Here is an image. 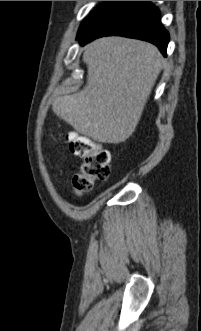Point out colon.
Segmentation results:
<instances>
[{
  "label": "colon",
  "instance_id": "colon-1",
  "mask_svg": "<svg viewBox=\"0 0 201 331\" xmlns=\"http://www.w3.org/2000/svg\"><path fill=\"white\" fill-rule=\"evenodd\" d=\"M66 140L70 151L80 158L72 176L73 187L78 194L86 193L109 176L110 154L98 143L75 133Z\"/></svg>",
  "mask_w": 201,
  "mask_h": 331
}]
</instances>
